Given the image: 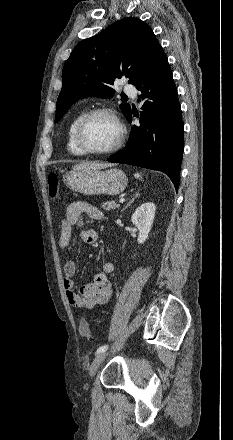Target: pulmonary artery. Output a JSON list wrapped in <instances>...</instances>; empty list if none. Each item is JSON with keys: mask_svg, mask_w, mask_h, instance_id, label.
<instances>
[{"mask_svg": "<svg viewBox=\"0 0 233 440\" xmlns=\"http://www.w3.org/2000/svg\"><path fill=\"white\" fill-rule=\"evenodd\" d=\"M125 91H126L128 94H130L131 96H133V97H135L136 94H137V90H136V88H135L134 86H132V85H127V86L125 87Z\"/></svg>", "mask_w": 233, "mask_h": 440, "instance_id": "obj_1", "label": "pulmonary artery"}]
</instances>
